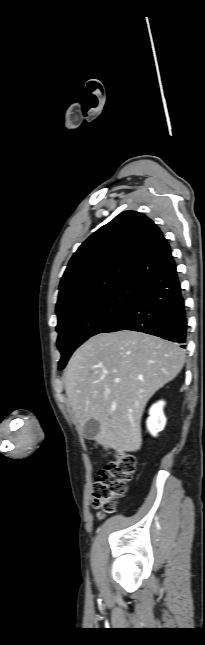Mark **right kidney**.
<instances>
[{
	"mask_svg": "<svg viewBox=\"0 0 205 645\" xmlns=\"http://www.w3.org/2000/svg\"><path fill=\"white\" fill-rule=\"evenodd\" d=\"M164 401H158L153 404L149 410V417L147 419V428L153 436L162 431L166 425V417L163 412Z\"/></svg>",
	"mask_w": 205,
	"mask_h": 645,
	"instance_id": "obj_1",
	"label": "right kidney"
}]
</instances>
